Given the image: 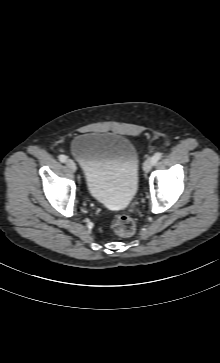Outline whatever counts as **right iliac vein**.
Listing matches in <instances>:
<instances>
[{"label":"right iliac vein","instance_id":"right-iliac-vein-1","mask_svg":"<svg viewBox=\"0 0 220 363\" xmlns=\"http://www.w3.org/2000/svg\"><path fill=\"white\" fill-rule=\"evenodd\" d=\"M66 166L72 171V172H75L77 170V167H76V164L73 160L71 159H68L66 161Z\"/></svg>","mask_w":220,"mask_h":363}]
</instances>
